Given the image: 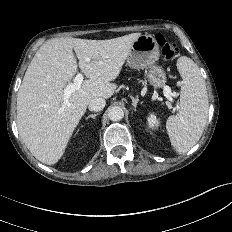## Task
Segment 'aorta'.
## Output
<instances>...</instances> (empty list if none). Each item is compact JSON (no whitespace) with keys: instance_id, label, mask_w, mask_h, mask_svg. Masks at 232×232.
I'll return each mask as SVG.
<instances>
[{"instance_id":"aorta-1","label":"aorta","mask_w":232,"mask_h":232,"mask_svg":"<svg viewBox=\"0 0 232 232\" xmlns=\"http://www.w3.org/2000/svg\"><path fill=\"white\" fill-rule=\"evenodd\" d=\"M108 117L111 121H120L124 117V111L120 106L111 107L108 111Z\"/></svg>"}]
</instances>
